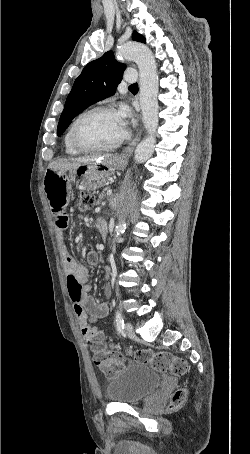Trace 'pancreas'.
<instances>
[{
	"instance_id": "pancreas-1",
	"label": "pancreas",
	"mask_w": 250,
	"mask_h": 454,
	"mask_svg": "<svg viewBox=\"0 0 250 454\" xmlns=\"http://www.w3.org/2000/svg\"><path fill=\"white\" fill-rule=\"evenodd\" d=\"M105 191H108V188H105L102 193L99 195V199H102L104 197Z\"/></svg>"
}]
</instances>
